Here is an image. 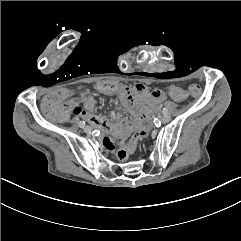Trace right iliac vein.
Listing matches in <instances>:
<instances>
[{"instance_id":"right-iliac-vein-1","label":"right iliac vein","mask_w":241,"mask_h":241,"mask_svg":"<svg viewBox=\"0 0 241 241\" xmlns=\"http://www.w3.org/2000/svg\"><path fill=\"white\" fill-rule=\"evenodd\" d=\"M84 131L86 132V133H91V131H92V129H91V127L90 126H85L84 128Z\"/></svg>"}]
</instances>
